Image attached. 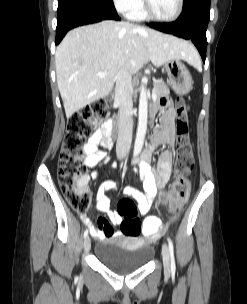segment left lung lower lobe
Segmentation results:
<instances>
[{"label":"left lung lower lobe","instance_id":"left-lung-lower-lobe-1","mask_svg":"<svg viewBox=\"0 0 247 304\" xmlns=\"http://www.w3.org/2000/svg\"><path fill=\"white\" fill-rule=\"evenodd\" d=\"M211 0H190L183 8L180 17L169 24H149L151 28L190 39L197 47L202 60L206 59V30L209 22Z\"/></svg>","mask_w":247,"mask_h":304}]
</instances>
